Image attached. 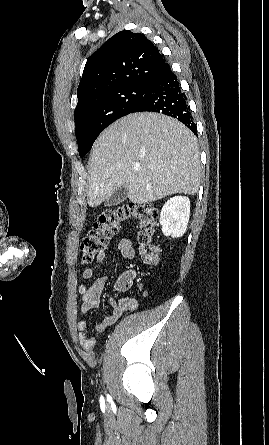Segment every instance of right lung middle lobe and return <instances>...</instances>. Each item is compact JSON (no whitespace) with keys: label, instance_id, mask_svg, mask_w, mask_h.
<instances>
[{"label":"right lung middle lobe","instance_id":"dd1d6c3e","mask_svg":"<svg viewBox=\"0 0 269 445\" xmlns=\"http://www.w3.org/2000/svg\"><path fill=\"white\" fill-rule=\"evenodd\" d=\"M148 85H127L85 102L74 112L80 157L85 156L98 135L117 119L132 113L148 93Z\"/></svg>","mask_w":269,"mask_h":445}]
</instances>
